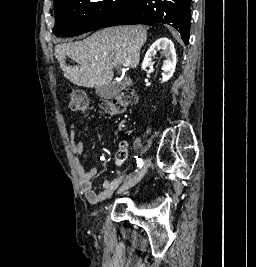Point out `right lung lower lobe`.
Returning <instances> with one entry per match:
<instances>
[{"mask_svg": "<svg viewBox=\"0 0 256 267\" xmlns=\"http://www.w3.org/2000/svg\"><path fill=\"white\" fill-rule=\"evenodd\" d=\"M192 0H134L117 18L106 23L102 28L115 25L164 23L180 32L188 44Z\"/></svg>", "mask_w": 256, "mask_h": 267, "instance_id": "right-lung-lower-lobe-1", "label": "right lung lower lobe"}]
</instances>
